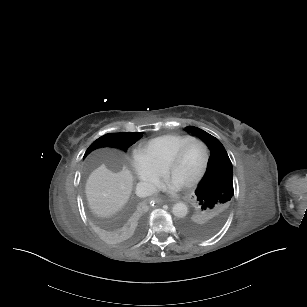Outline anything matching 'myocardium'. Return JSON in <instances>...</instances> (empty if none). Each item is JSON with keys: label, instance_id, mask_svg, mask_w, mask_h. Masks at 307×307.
Returning a JSON list of instances; mask_svg holds the SVG:
<instances>
[{"label": "myocardium", "instance_id": "f54148a6", "mask_svg": "<svg viewBox=\"0 0 307 307\" xmlns=\"http://www.w3.org/2000/svg\"><path fill=\"white\" fill-rule=\"evenodd\" d=\"M191 142H200L203 145L204 162H203L201 169L198 171V173L185 185L186 188H191L195 186L196 184H198L203 179V177L206 175L207 170L209 168V163H210L209 147H208V144L203 139L198 138V137H191L187 139L180 145V147L171 156H169L166 159V161L162 165L164 175L167 176L169 168L182 158L187 146Z\"/></svg>", "mask_w": 307, "mask_h": 307}]
</instances>
